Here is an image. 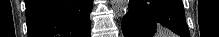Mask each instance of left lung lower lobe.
<instances>
[{
    "instance_id": "0a47b994",
    "label": "left lung lower lobe",
    "mask_w": 219,
    "mask_h": 37,
    "mask_svg": "<svg viewBox=\"0 0 219 37\" xmlns=\"http://www.w3.org/2000/svg\"><path fill=\"white\" fill-rule=\"evenodd\" d=\"M163 25L181 37H190L181 0H130L122 20L124 37H152Z\"/></svg>"
}]
</instances>
